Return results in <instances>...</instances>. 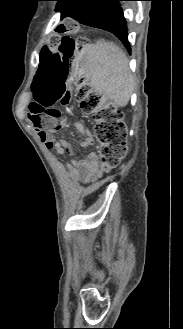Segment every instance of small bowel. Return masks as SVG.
<instances>
[{
  "mask_svg": "<svg viewBox=\"0 0 183 329\" xmlns=\"http://www.w3.org/2000/svg\"><path fill=\"white\" fill-rule=\"evenodd\" d=\"M28 118L48 149L54 150L57 155L66 154L71 158L68 168L70 171L74 172L82 182L89 183L97 180L101 176L102 172L97 161L98 157L95 153H90L83 158H75V150L67 140L62 139L54 141L48 137L51 132H43V127L47 125L43 117L31 115L30 112H28ZM78 128L82 133L87 134L86 138L80 144L81 147H89L92 145L93 139L85 127L79 124Z\"/></svg>",
  "mask_w": 183,
  "mask_h": 329,
  "instance_id": "small-bowel-1",
  "label": "small bowel"
}]
</instances>
